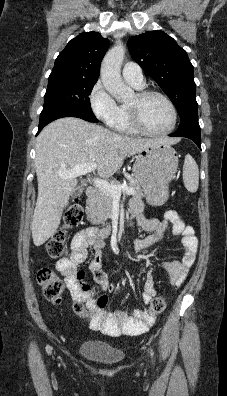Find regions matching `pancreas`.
<instances>
[{
  "mask_svg": "<svg viewBox=\"0 0 227 396\" xmlns=\"http://www.w3.org/2000/svg\"><path fill=\"white\" fill-rule=\"evenodd\" d=\"M113 184L120 185L118 181H114ZM128 186L134 190V197H143V190L137 180L132 177L129 178ZM87 205V219L94 225L104 224L112 216L113 196L98 190L96 196Z\"/></svg>",
  "mask_w": 227,
  "mask_h": 396,
  "instance_id": "cf45deb5",
  "label": "pancreas"
}]
</instances>
